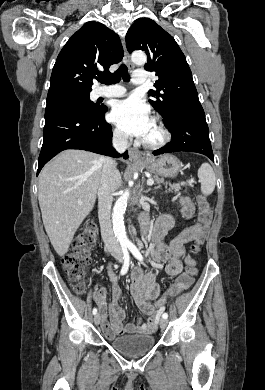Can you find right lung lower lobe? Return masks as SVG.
<instances>
[{
  "label": "right lung lower lobe",
  "instance_id": "1",
  "mask_svg": "<svg viewBox=\"0 0 265 390\" xmlns=\"http://www.w3.org/2000/svg\"><path fill=\"white\" fill-rule=\"evenodd\" d=\"M106 106L98 112L77 107H51L45 110L43 145L37 175L57 153L65 149H83L111 157H120L112 148V127L105 121ZM128 158V152L122 154Z\"/></svg>",
  "mask_w": 265,
  "mask_h": 390
}]
</instances>
